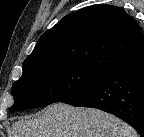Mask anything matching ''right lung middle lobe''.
<instances>
[{
    "instance_id": "right-lung-middle-lobe-1",
    "label": "right lung middle lobe",
    "mask_w": 144,
    "mask_h": 137,
    "mask_svg": "<svg viewBox=\"0 0 144 137\" xmlns=\"http://www.w3.org/2000/svg\"><path fill=\"white\" fill-rule=\"evenodd\" d=\"M106 72L77 63L59 62L23 66L12 88L11 111L43 107L74 96Z\"/></svg>"
}]
</instances>
